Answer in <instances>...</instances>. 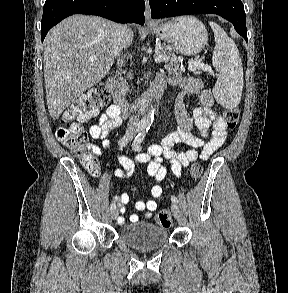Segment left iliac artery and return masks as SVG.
I'll return each mask as SVG.
<instances>
[{
	"label": "left iliac artery",
	"mask_w": 288,
	"mask_h": 293,
	"mask_svg": "<svg viewBox=\"0 0 288 293\" xmlns=\"http://www.w3.org/2000/svg\"><path fill=\"white\" fill-rule=\"evenodd\" d=\"M144 137H145V131L142 132V133H139V134L136 136V138H135V140H134V142H133V145H132V146H133V149H134L135 151H140V150H141V148H142L141 143L143 142ZM171 201H172L173 203H178V199H177L175 196H171Z\"/></svg>",
	"instance_id": "1"
}]
</instances>
